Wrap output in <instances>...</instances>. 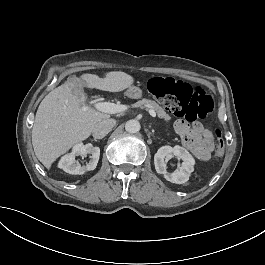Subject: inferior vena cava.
Returning a JSON list of instances; mask_svg holds the SVG:
<instances>
[{"label": "inferior vena cava", "instance_id": "obj_1", "mask_svg": "<svg viewBox=\"0 0 265 265\" xmlns=\"http://www.w3.org/2000/svg\"><path fill=\"white\" fill-rule=\"evenodd\" d=\"M114 119H106L97 123L93 129V137L96 139L104 138L115 126Z\"/></svg>", "mask_w": 265, "mask_h": 265}]
</instances>
